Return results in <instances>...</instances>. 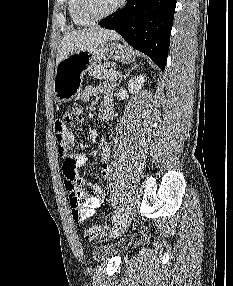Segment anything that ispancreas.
Returning a JSON list of instances; mask_svg holds the SVG:
<instances>
[{
	"label": "pancreas",
	"instance_id": "obj_1",
	"mask_svg": "<svg viewBox=\"0 0 233 286\" xmlns=\"http://www.w3.org/2000/svg\"><path fill=\"white\" fill-rule=\"evenodd\" d=\"M110 63H103L98 64L95 67L91 68L88 73L90 76L97 78V79H105L108 81L115 82L117 80V76L111 74V71H114L115 69L110 68Z\"/></svg>",
	"mask_w": 233,
	"mask_h": 286
}]
</instances>
